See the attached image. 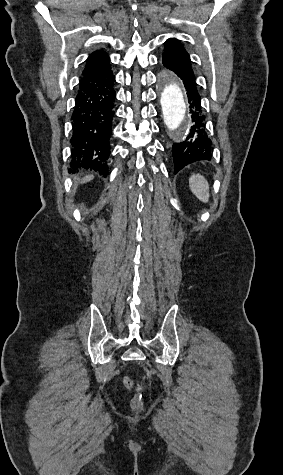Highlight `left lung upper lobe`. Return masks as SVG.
Segmentation results:
<instances>
[{"mask_svg": "<svg viewBox=\"0 0 283 475\" xmlns=\"http://www.w3.org/2000/svg\"><path fill=\"white\" fill-rule=\"evenodd\" d=\"M166 47L164 51H167L170 58L175 59H187L190 60V56L183 48L182 44L177 39H169L165 42Z\"/></svg>", "mask_w": 283, "mask_h": 475, "instance_id": "5c2ea615", "label": "left lung upper lobe"}]
</instances>
